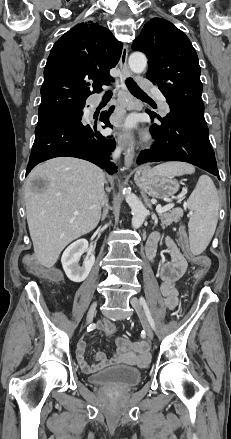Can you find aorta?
<instances>
[{
  "instance_id": "obj_1",
  "label": "aorta",
  "mask_w": 231,
  "mask_h": 439,
  "mask_svg": "<svg viewBox=\"0 0 231 439\" xmlns=\"http://www.w3.org/2000/svg\"><path fill=\"white\" fill-rule=\"evenodd\" d=\"M128 65L133 73H143L147 66V58L142 52H134L129 57ZM122 150L123 148L121 146L116 147L112 154L114 161L119 158ZM123 194L125 195V200L132 211V227L137 229L143 224L147 216V209L141 200L135 194L130 193L128 189H124Z\"/></svg>"
}]
</instances>
